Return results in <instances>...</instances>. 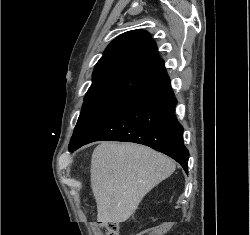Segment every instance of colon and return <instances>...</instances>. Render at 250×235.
Segmentation results:
<instances>
[{
    "instance_id": "1",
    "label": "colon",
    "mask_w": 250,
    "mask_h": 235,
    "mask_svg": "<svg viewBox=\"0 0 250 235\" xmlns=\"http://www.w3.org/2000/svg\"><path fill=\"white\" fill-rule=\"evenodd\" d=\"M100 226L106 235H119V226L117 222L104 221L100 222Z\"/></svg>"
}]
</instances>
